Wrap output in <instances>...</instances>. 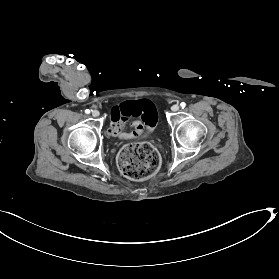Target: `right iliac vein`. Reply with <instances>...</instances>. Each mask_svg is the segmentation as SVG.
Masks as SVG:
<instances>
[{
	"mask_svg": "<svg viewBox=\"0 0 279 279\" xmlns=\"http://www.w3.org/2000/svg\"><path fill=\"white\" fill-rule=\"evenodd\" d=\"M92 116L93 117H98L99 116V111L98 110H93L92 111Z\"/></svg>",
	"mask_w": 279,
	"mask_h": 279,
	"instance_id": "obj_1",
	"label": "right iliac vein"
}]
</instances>
